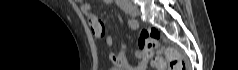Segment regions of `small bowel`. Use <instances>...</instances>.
Masks as SVG:
<instances>
[{"label":"small bowel","mask_w":238,"mask_h":70,"mask_svg":"<svg viewBox=\"0 0 238 70\" xmlns=\"http://www.w3.org/2000/svg\"><path fill=\"white\" fill-rule=\"evenodd\" d=\"M106 3L111 2V0H105ZM80 9L83 15L88 19V25L95 38H103L106 35V29L102 20L92 13L91 5L87 1H82L80 4ZM107 46H112L113 38L107 36L105 39ZM139 50L135 53V57L140 59V61L135 66H130L126 59V52L124 49L115 53L114 51L109 52V57L113 61L116 69L118 70H146L148 66L149 59L152 55H149L145 51L143 40L140 37L138 40Z\"/></svg>","instance_id":"obj_1"}]
</instances>
